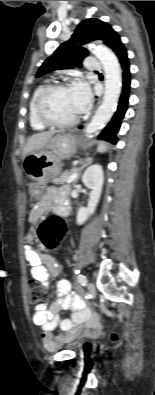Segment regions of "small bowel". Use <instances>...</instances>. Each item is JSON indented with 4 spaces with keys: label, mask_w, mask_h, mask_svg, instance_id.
Returning a JSON list of instances; mask_svg holds the SVG:
<instances>
[{
    "label": "small bowel",
    "mask_w": 155,
    "mask_h": 395,
    "mask_svg": "<svg viewBox=\"0 0 155 395\" xmlns=\"http://www.w3.org/2000/svg\"><path fill=\"white\" fill-rule=\"evenodd\" d=\"M64 209H69L67 189L50 188L32 212L31 221L37 222L50 212L62 215ZM25 258L31 267L32 277L44 288H48L50 279L60 272L58 262L50 255L37 252L31 246L25 248ZM70 290L69 281H59L56 287L58 300L49 307L39 304L34 309L33 322L41 328V340L47 350H55L76 338L97 334L101 329L99 316L87 308L79 296L71 294ZM64 310L72 312L71 319L61 317ZM58 326L61 332L54 336L53 331Z\"/></svg>",
    "instance_id": "obj_1"
}]
</instances>
